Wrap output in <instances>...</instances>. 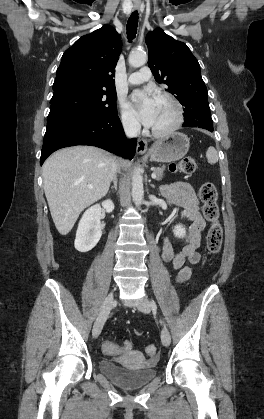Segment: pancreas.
Here are the masks:
<instances>
[{
    "label": "pancreas",
    "mask_w": 264,
    "mask_h": 419,
    "mask_svg": "<svg viewBox=\"0 0 264 419\" xmlns=\"http://www.w3.org/2000/svg\"><path fill=\"white\" fill-rule=\"evenodd\" d=\"M164 170H165V167L164 166H162V167H158V168H156L155 170H154V172L156 173V180H158V181H160L162 178H163V175H164Z\"/></svg>",
    "instance_id": "cf45deb5"
}]
</instances>
